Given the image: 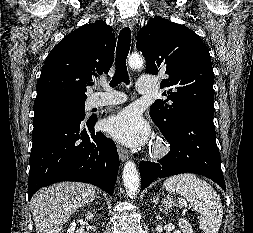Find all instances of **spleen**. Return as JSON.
Listing matches in <instances>:
<instances>
[{
  "mask_svg": "<svg viewBox=\"0 0 253 233\" xmlns=\"http://www.w3.org/2000/svg\"><path fill=\"white\" fill-rule=\"evenodd\" d=\"M163 186L168 192L183 196L201 214L200 225L205 233H218L223 205L220 196L206 181L187 173L168 178Z\"/></svg>",
  "mask_w": 253,
  "mask_h": 233,
  "instance_id": "3e777b00",
  "label": "spleen"
}]
</instances>
